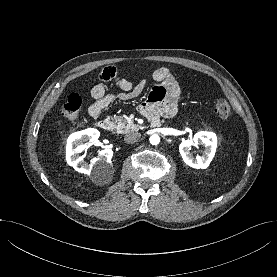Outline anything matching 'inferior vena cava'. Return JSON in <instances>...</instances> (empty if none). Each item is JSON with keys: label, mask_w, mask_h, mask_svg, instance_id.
Listing matches in <instances>:
<instances>
[{"label": "inferior vena cava", "mask_w": 277, "mask_h": 277, "mask_svg": "<svg viewBox=\"0 0 277 277\" xmlns=\"http://www.w3.org/2000/svg\"><path fill=\"white\" fill-rule=\"evenodd\" d=\"M141 137V134L138 132H132V133H128L125 135L124 137V141L126 143L132 144L134 142H137Z\"/></svg>", "instance_id": "obj_1"}]
</instances>
